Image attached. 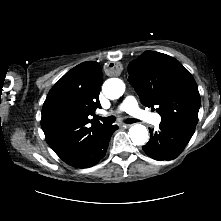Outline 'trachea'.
<instances>
[{
  "label": "trachea",
  "mask_w": 221,
  "mask_h": 221,
  "mask_svg": "<svg viewBox=\"0 0 221 221\" xmlns=\"http://www.w3.org/2000/svg\"><path fill=\"white\" fill-rule=\"evenodd\" d=\"M98 119L102 120L106 123H114L115 120H116V118L114 116H108V117H99L98 116ZM125 122L128 123V124H132V123L139 122V120L134 119V118H130V119H127Z\"/></svg>",
  "instance_id": "trachea-1"
}]
</instances>
